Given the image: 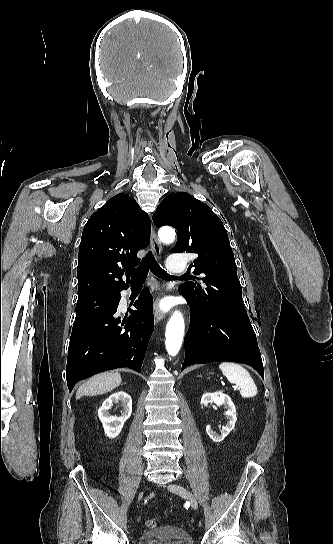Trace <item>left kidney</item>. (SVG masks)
Here are the masks:
<instances>
[{
	"mask_svg": "<svg viewBox=\"0 0 333 544\" xmlns=\"http://www.w3.org/2000/svg\"><path fill=\"white\" fill-rule=\"evenodd\" d=\"M214 403L217 406L224 405L227 409L225 412L228 422L222 427L221 434L214 432L210 425L206 426V432L214 442H221L228 436V434L234 429L237 420L236 409L231 398L223 392L205 393L201 398V404Z\"/></svg>",
	"mask_w": 333,
	"mask_h": 544,
	"instance_id": "5707ae66",
	"label": "left kidney"
}]
</instances>
